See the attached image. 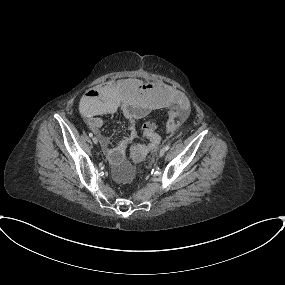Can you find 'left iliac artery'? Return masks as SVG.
I'll use <instances>...</instances> for the list:
<instances>
[{
  "mask_svg": "<svg viewBox=\"0 0 285 285\" xmlns=\"http://www.w3.org/2000/svg\"><path fill=\"white\" fill-rule=\"evenodd\" d=\"M169 148H170V144H167V145L165 146V150L167 151Z\"/></svg>",
  "mask_w": 285,
  "mask_h": 285,
  "instance_id": "obj_1",
  "label": "left iliac artery"
}]
</instances>
